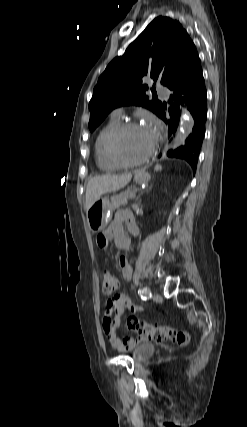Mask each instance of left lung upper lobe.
Wrapping results in <instances>:
<instances>
[{"label":"left lung upper lobe","instance_id":"5c2ea615","mask_svg":"<svg viewBox=\"0 0 247 427\" xmlns=\"http://www.w3.org/2000/svg\"><path fill=\"white\" fill-rule=\"evenodd\" d=\"M198 58L194 43L178 21L155 18L99 77L89 103V129L94 131L108 113L122 105H141L159 116L163 105L154 97L149 99L145 93L149 88L143 80L151 78L169 87Z\"/></svg>","mask_w":247,"mask_h":427}]
</instances>
